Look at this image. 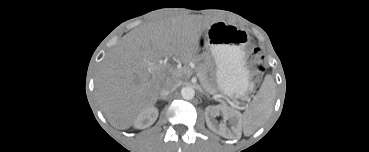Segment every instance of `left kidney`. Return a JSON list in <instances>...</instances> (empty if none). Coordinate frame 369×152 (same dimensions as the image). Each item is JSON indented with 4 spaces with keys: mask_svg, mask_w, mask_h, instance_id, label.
I'll list each match as a JSON object with an SVG mask.
<instances>
[{
    "mask_svg": "<svg viewBox=\"0 0 369 152\" xmlns=\"http://www.w3.org/2000/svg\"><path fill=\"white\" fill-rule=\"evenodd\" d=\"M223 115V118L225 120H229L230 123L232 124V131L228 130L226 127H224L223 125H217L216 123H214L211 119L213 117H215L216 115L219 114ZM205 118H206V123L207 126L210 130H212L213 132L225 137V138H230V139H234L238 137V132H239V128H238V123H239V113L236 111H232L230 109H228L227 107L224 106H208L205 109Z\"/></svg>",
    "mask_w": 369,
    "mask_h": 152,
    "instance_id": "1",
    "label": "left kidney"
}]
</instances>
